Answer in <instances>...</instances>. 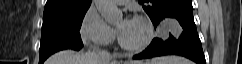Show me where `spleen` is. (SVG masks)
<instances>
[{"label":"spleen","mask_w":242,"mask_h":64,"mask_svg":"<svg viewBox=\"0 0 242 64\" xmlns=\"http://www.w3.org/2000/svg\"><path fill=\"white\" fill-rule=\"evenodd\" d=\"M151 64H191V62L178 56H164L153 59Z\"/></svg>","instance_id":"spleen-1"}]
</instances>
